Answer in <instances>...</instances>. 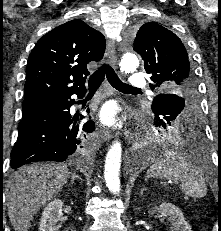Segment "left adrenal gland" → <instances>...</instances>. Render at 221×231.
Segmentation results:
<instances>
[{
  "instance_id": "1",
  "label": "left adrenal gland",
  "mask_w": 221,
  "mask_h": 231,
  "mask_svg": "<svg viewBox=\"0 0 221 231\" xmlns=\"http://www.w3.org/2000/svg\"><path fill=\"white\" fill-rule=\"evenodd\" d=\"M144 191H146V189H145V188H142V189H141V193H140L141 196L143 195V192H144Z\"/></svg>"
}]
</instances>
